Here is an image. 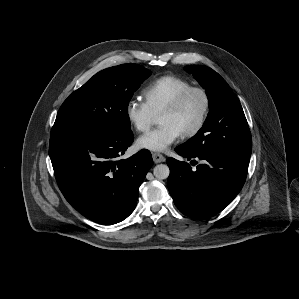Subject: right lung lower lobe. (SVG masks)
<instances>
[{
  "label": "right lung lower lobe",
  "instance_id": "98d812e1",
  "mask_svg": "<svg viewBox=\"0 0 299 299\" xmlns=\"http://www.w3.org/2000/svg\"><path fill=\"white\" fill-rule=\"evenodd\" d=\"M133 140L131 130L51 133L49 154L57 184L66 200L88 219L112 225L134 210L153 160L146 149L119 159Z\"/></svg>",
  "mask_w": 299,
  "mask_h": 299
}]
</instances>
